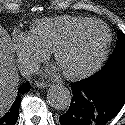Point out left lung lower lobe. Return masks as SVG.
<instances>
[{
	"label": "left lung lower lobe",
	"instance_id": "obj_1",
	"mask_svg": "<svg viewBox=\"0 0 125 125\" xmlns=\"http://www.w3.org/2000/svg\"><path fill=\"white\" fill-rule=\"evenodd\" d=\"M72 101L61 125H106L125 104V65L71 84Z\"/></svg>",
	"mask_w": 125,
	"mask_h": 125
}]
</instances>
